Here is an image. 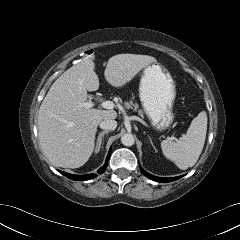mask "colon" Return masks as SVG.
Instances as JSON below:
<instances>
[{"mask_svg":"<svg viewBox=\"0 0 240 240\" xmlns=\"http://www.w3.org/2000/svg\"><path fill=\"white\" fill-rule=\"evenodd\" d=\"M93 55V50L89 49L83 52V56L90 57Z\"/></svg>","mask_w":240,"mask_h":240,"instance_id":"1","label":"colon"}]
</instances>
